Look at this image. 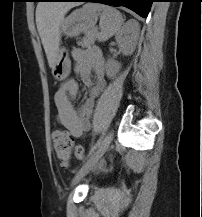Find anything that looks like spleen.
<instances>
[{
  "instance_id": "spleen-1",
  "label": "spleen",
  "mask_w": 202,
  "mask_h": 217,
  "mask_svg": "<svg viewBox=\"0 0 202 217\" xmlns=\"http://www.w3.org/2000/svg\"><path fill=\"white\" fill-rule=\"evenodd\" d=\"M88 8L101 11L99 40L105 41L117 33L123 23L120 12L112 7L101 4H88Z\"/></svg>"
}]
</instances>
